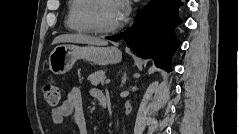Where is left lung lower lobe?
<instances>
[{
  "label": "left lung lower lobe",
  "mask_w": 239,
  "mask_h": 134,
  "mask_svg": "<svg viewBox=\"0 0 239 134\" xmlns=\"http://www.w3.org/2000/svg\"><path fill=\"white\" fill-rule=\"evenodd\" d=\"M182 4L180 0H157L137 15L131 28L107 39L125 40L140 57L151 58L157 67L170 72V59L178 46L173 27L181 22L177 12Z\"/></svg>",
  "instance_id": "0a47b994"
}]
</instances>
